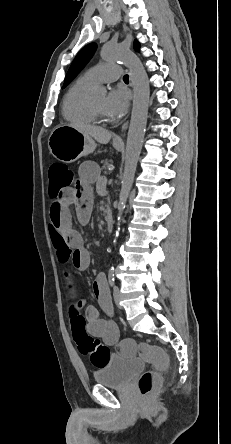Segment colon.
<instances>
[{"instance_id":"colon-1","label":"colon","mask_w":231,"mask_h":444,"mask_svg":"<svg viewBox=\"0 0 231 444\" xmlns=\"http://www.w3.org/2000/svg\"><path fill=\"white\" fill-rule=\"evenodd\" d=\"M75 184L73 172L63 163H53L49 168V195L52 201L58 202L64 189ZM71 329L73 339L81 354L88 357L95 367L104 366L110 357V349L100 341L90 336L86 330V319L80 310L72 306L70 311ZM121 348L137 350L142 358L151 363L154 370H148L141 374L138 380L139 391L147 396L161 384L160 371L166 369L168 359L164 351L155 345L147 343L136 344L131 339L124 340Z\"/></svg>"}]
</instances>
